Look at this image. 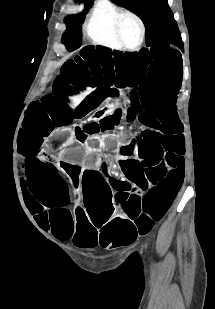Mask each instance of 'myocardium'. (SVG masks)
Returning a JSON list of instances; mask_svg holds the SVG:
<instances>
[{
  "label": "myocardium",
  "mask_w": 215,
  "mask_h": 309,
  "mask_svg": "<svg viewBox=\"0 0 215 309\" xmlns=\"http://www.w3.org/2000/svg\"><path fill=\"white\" fill-rule=\"evenodd\" d=\"M115 14H117V17H115V25L113 27H115V33L117 39H118V46L119 48H140L141 45L143 44L144 38H145V27L143 25V22L141 21V19L134 13L130 12V11H117L115 12ZM124 18H128L130 20H132L138 29V41L136 44L132 45V46H124L123 44V38H121V30H123V23L121 22L122 19Z\"/></svg>",
  "instance_id": "obj_1"
}]
</instances>
